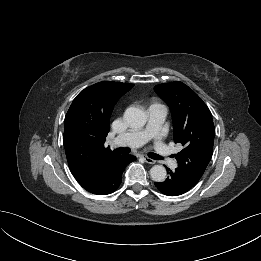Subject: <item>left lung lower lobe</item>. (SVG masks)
<instances>
[{"mask_svg":"<svg viewBox=\"0 0 261 261\" xmlns=\"http://www.w3.org/2000/svg\"><path fill=\"white\" fill-rule=\"evenodd\" d=\"M168 177L163 182H155V186L165 195L178 196L192 189L197 183L189 178L185 173L178 168L171 171L167 168Z\"/></svg>","mask_w":261,"mask_h":261,"instance_id":"left-lung-lower-lobe-1","label":"left lung lower lobe"}]
</instances>
